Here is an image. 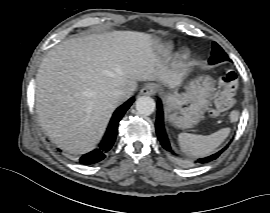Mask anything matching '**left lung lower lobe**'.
Returning a JSON list of instances; mask_svg holds the SVG:
<instances>
[{"label":"left lung lower lobe","instance_id":"obj_1","mask_svg":"<svg viewBox=\"0 0 270 213\" xmlns=\"http://www.w3.org/2000/svg\"><path fill=\"white\" fill-rule=\"evenodd\" d=\"M158 107V113H157V119H156V133L158 136V139L161 143V145L163 146V148L165 150H167L168 152H170L171 155L174 156L175 160L180 163V164H188V162L186 160L180 159L178 154H176L173 149L171 148V145L168 141L167 135L165 133V129H164V125H163V111H162V104L160 102V100L158 101L157 104ZM228 146L224 147L222 150L218 151L217 153L205 157V158H201L198 159L197 161H195V163H200V164H205L208 163L216 158L219 157V155L227 148Z\"/></svg>","mask_w":270,"mask_h":213}]
</instances>
